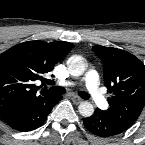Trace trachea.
<instances>
[{
  "instance_id": "3493384b",
  "label": "trachea",
  "mask_w": 145,
  "mask_h": 145,
  "mask_svg": "<svg viewBox=\"0 0 145 145\" xmlns=\"http://www.w3.org/2000/svg\"><path fill=\"white\" fill-rule=\"evenodd\" d=\"M50 90L54 93V94H57V95H62L66 92V89L63 88V87H58V86H54V87H51ZM78 95L80 97H82L83 99H89L90 98V95L85 92V91H79L78 92Z\"/></svg>"
}]
</instances>
